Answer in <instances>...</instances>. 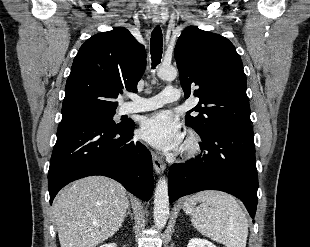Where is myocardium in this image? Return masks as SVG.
<instances>
[{"label":"myocardium","instance_id":"f54148a6","mask_svg":"<svg viewBox=\"0 0 310 247\" xmlns=\"http://www.w3.org/2000/svg\"><path fill=\"white\" fill-rule=\"evenodd\" d=\"M200 148L201 141L199 135L193 131L189 132L182 147L184 154L188 157H194L199 153Z\"/></svg>","mask_w":310,"mask_h":247}]
</instances>
